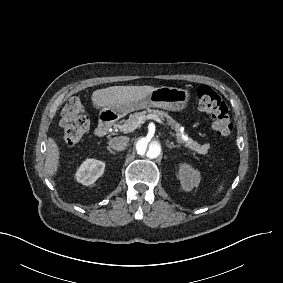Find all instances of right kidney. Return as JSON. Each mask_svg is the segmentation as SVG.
<instances>
[{"instance_id":"right-kidney-1","label":"right kidney","mask_w":283,"mask_h":283,"mask_svg":"<svg viewBox=\"0 0 283 283\" xmlns=\"http://www.w3.org/2000/svg\"><path fill=\"white\" fill-rule=\"evenodd\" d=\"M104 169L105 165L103 162L89 159L78 170L76 174L77 180L84 185L93 184L102 176Z\"/></svg>"}]
</instances>
